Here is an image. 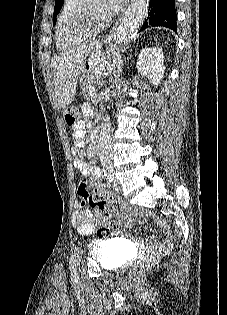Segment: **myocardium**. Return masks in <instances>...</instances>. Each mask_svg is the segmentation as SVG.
I'll list each match as a JSON object with an SVG mask.
<instances>
[{
    "label": "myocardium",
    "instance_id": "myocardium-1",
    "mask_svg": "<svg viewBox=\"0 0 227 315\" xmlns=\"http://www.w3.org/2000/svg\"><path fill=\"white\" fill-rule=\"evenodd\" d=\"M104 19H95L88 9V0H83L78 7L69 27V32L73 37L82 35H94L105 26Z\"/></svg>",
    "mask_w": 227,
    "mask_h": 315
}]
</instances>
